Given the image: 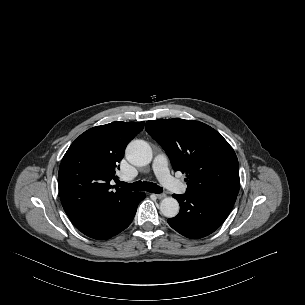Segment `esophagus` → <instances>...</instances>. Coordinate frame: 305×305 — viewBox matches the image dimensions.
I'll list each match as a JSON object with an SVG mask.
<instances>
[{
	"instance_id": "obj_1",
	"label": "esophagus",
	"mask_w": 305,
	"mask_h": 305,
	"mask_svg": "<svg viewBox=\"0 0 305 305\" xmlns=\"http://www.w3.org/2000/svg\"><path fill=\"white\" fill-rule=\"evenodd\" d=\"M155 196H156L158 199H162V198L166 197V194H164V193H159V194H155Z\"/></svg>"
}]
</instances>
